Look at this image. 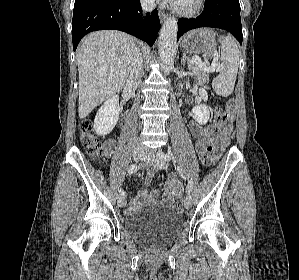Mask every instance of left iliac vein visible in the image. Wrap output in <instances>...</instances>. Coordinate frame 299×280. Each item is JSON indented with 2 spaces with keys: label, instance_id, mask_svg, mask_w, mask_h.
I'll use <instances>...</instances> for the list:
<instances>
[{
  "label": "left iliac vein",
  "instance_id": "obj_1",
  "mask_svg": "<svg viewBox=\"0 0 299 280\" xmlns=\"http://www.w3.org/2000/svg\"><path fill=\"white\" fill-rule=\"evenodd\" d=\"M161 152V151H160ZM143 160L150 163L157 169H166L168 167L167 161L159 156V153L155 155L151 151H147L143 157ZM186 209H190L192 206L191 196L188 194L184 200Z\"/></svg>",
  "mask_w": 299,
  "mask_h": 280
}]
</instances>
